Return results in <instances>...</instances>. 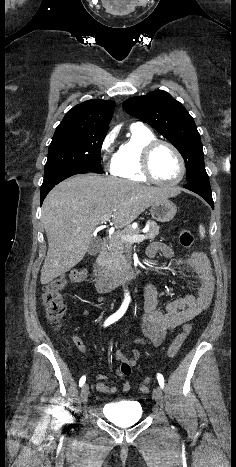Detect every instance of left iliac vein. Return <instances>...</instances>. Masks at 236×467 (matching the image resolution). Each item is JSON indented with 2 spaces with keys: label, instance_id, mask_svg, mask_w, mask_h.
Masks as SVG:
<instances>
[{
  "label": "left iliac vein",
  "instance_id": "left-iliac-vein-1",
  "mask_svg": "<svg viewBox=\"0 0 236 467\" xmlns=\"http://www.w3.org/2000/svg\"><path fill=\"white\" fill-rule=\"evenodd\" d=\"M153 397L156 403L163 408L164 406V395L160 387H157L153 393Z\"/></svg>",
  "mask_w": 236,
  "mask_h": 467
}]
</instances>
